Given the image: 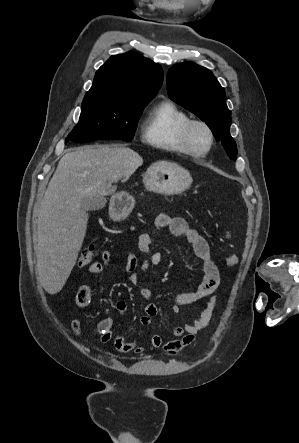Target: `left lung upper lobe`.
<instances>
[{
  "instance_id": "5c2ea615",
  "label": "left lung upper lobe",
  "mask_w": 299,
  "mask_h": 443,
  "mask_svg": "<svg viewBox=\"0 0 299 443\" xmlns=\"http://www.w3.org/2000/svg\"><path fill=\"white\" fill-rule=\"evenodd\" d=\"M167 90L171 100L194 113L221 141L228 156L236 160L237 147L230 135L231 112L225 91L211 71L191 62L172 66L167 74Z\"/></svg>"
}]
</instances>
